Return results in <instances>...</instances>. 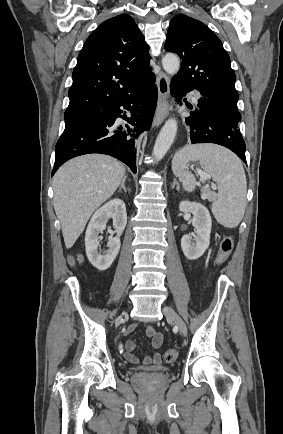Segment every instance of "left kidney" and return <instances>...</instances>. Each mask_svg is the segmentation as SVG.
<instances>
[{
  "mask_svg": "<svg viewBox=\"0 0 283 434\" xmlns=\"http://www.w3.org/2000/svg\"><path fill=\"white\" fill-rule=\"evenodd\" d=\"M179 210L193 215L192 225L195 233L184 235L181 239V247L187 259L196 260L204 254L210 244L212 227L210 213L204 205L189 201H182Z\"/></svg>",
  "mask_w": 283,
  "mask_h": 434,
  "instance_id": "1",
  "label": "left kidney"
}]
</instances>
